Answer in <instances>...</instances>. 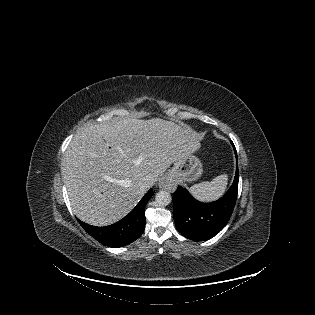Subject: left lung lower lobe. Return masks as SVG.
<instances>
[{
  "label": "left lung lower lobe",
  "instance_id": "0a47b994",
  "mask_svg": "<svg viewBox=\"0 0 315 315\" xmlns=\"http://www.w3.org/2000/svg\"><path fill=\"white\" fill-rule=\"evenodd\" d=\"M236 152V150H235ZM238 164L232 186L217 201L201 203L179 186L173 194L174 219L177 230L186 238L208 240L217 235L229 221L238 192Z\"/></svg>",
  "mask_w": 315,
  "mask_h": 315
}]
</instances>
